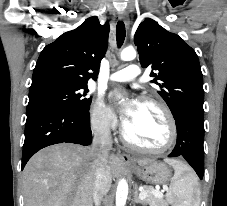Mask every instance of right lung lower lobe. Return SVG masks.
Masks as SVG:
<instances>
[{
    "label": "right lung lower lobe",
    "instance_id": "98d812e1",
    "mask_svg": "<svg viewBox=\"0 0 227 206\" xmlns=\"http://www.w3.org/2000/svg\"><path fill=\"white\" fill-rule=\"evenodd\" d=\"M89 108L84 112L43 107L27 113L21 169L40 149L49 145L72 142L89 145L92 131Z\"/></svg>",
    "mask_w": 227,
    "mask_h": 206
}]
</instances>
